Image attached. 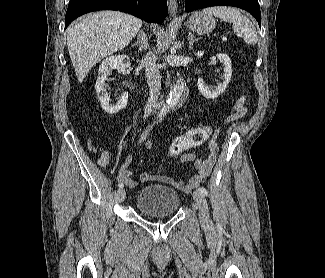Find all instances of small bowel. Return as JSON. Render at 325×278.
Returning <instances> with one entry per match:
<instances>
[{
  "mask_svg": "<svg viewBox=\"0 0 325 278\" xmlns=\"http://www.w3.org/2000/svg\"><path fill=\"white\" fill-rule=\"evenodd\" d=\"M192 129H189L184 136H188L191 134ZM144 140V139H143ZM142 140V141H143ZM143 145L145 148L150 149L151 143L149 141H144ZM208 152L204 156H200L195 152H185L180 156V161L183 163L192 162L196 173L190 178L189 182L185 184L182 181L175 180L169 176L165 175H150L148 173H143L140 175L138 179L134 178L133 172L128 169V165L131 162V157L128 156L121 166L118 175L116 176V180L120 183H124L129 188L134 189L138 185V183H147L149 181H162L169 185H172L176 188H185L187 191L197 187L201 181H203L206 177L209 176L212 168L215 165L219 148L216 141V137H212L207 142ZM110 159V153L108 151H103L99 156L97 162L100 166H107Z\"/></svg>",
  "mask_w": 325,
  "mask_h": 278,
  "instance_id": "1",
  "label": "small bowel"
}]
</instances>
